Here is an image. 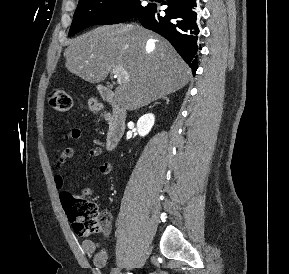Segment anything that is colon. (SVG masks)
I'll return each instance as SVG.
<instances>
[{
  "mask_svg": "<svg viewBox=\"0 0 289 274\" xmlns=\"http://www.w3.org/2000/svg\"><path fill=\"white\" fill-rule=\"evenodd\" d=\"M48 102L52 109L59 112L71 110L74 104L72 96L60 89L49 92ZM89 108L95 113L102 111L101 105L96 100L89 102ZM61 200L73 229L79 236L108 233L112 221L111 214L108 211H101L98 204L85 194L74 195L63 192Z\"/></svg>",
  "mask_w": 289,
  "mask_h": 274,
  "instance_id": "obj_1",
  "label": "colon"
}]
</instances>
